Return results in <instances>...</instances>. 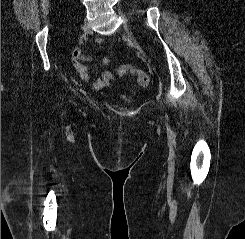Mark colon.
<instances>
[{
    "label": "colon",
    "instance_id": "1",
    "mask_svg": "<svg viewBox=\"0 0 245 239\" xmlns=\"http://www.w3.org/2000/svg\"><path fill=\"white\" fill-rule=\"evenodd\" d=\"M128 70L135 73L136 78H137V82L140 86L146 87L149 84V81H150L149 75L143 71L134 70L133 68H131L129 66H124V67L120 68L119 72L122 74Z\"/></svg>",
    "mask_w": 245,
    "mask_h": 239
}]
</instances>
